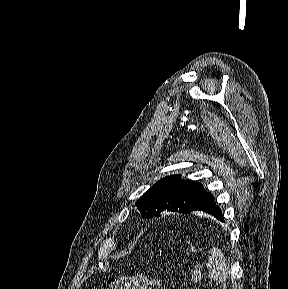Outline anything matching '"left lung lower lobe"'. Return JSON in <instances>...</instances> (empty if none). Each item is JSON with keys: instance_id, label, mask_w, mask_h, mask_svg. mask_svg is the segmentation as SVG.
<instances>
[{"instance_id": "0a47b994", "label": "left lung lower lobe", "mask_w": 288, "mask_h": 289, "mask_svg": "<svg viewBox=\"0 0 288 289\" xmlns=\"http://www.w3.org/2000/svg\"><path fill=\"white\" fill-rule=\"evenodd\" d=\"M192 211H203L213 215L218 220L224 222L221 209L215 204L214 197L211 193H207L200 202L193 208ZM191 211V212H192Z\"/></svg>"}]
</instances>
